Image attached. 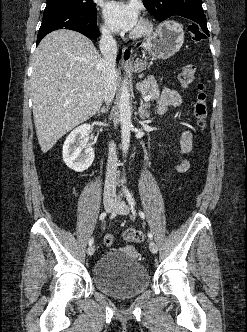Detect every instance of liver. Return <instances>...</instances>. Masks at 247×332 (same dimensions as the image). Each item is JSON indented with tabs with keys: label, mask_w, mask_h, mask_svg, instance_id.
I'll return each instance as SVG.
<instances>
[{
	"label": "liver",
	"mask_w": 247,
	"mask_h": 332,
	"mask_svg": "<svg viewBox=\"0 0 247 332\" xmlns=\"http://www.w3.org/2000/svg\"><path fill=\"white\" fill-rule=\"evenodd\" d=\"M101 61L93 43L72 30L51 32L38 45L30 82L36 134L43 153L99 111L104 99Z\"/></svg>",
	"instance_id": "1"
}]
</instances>
